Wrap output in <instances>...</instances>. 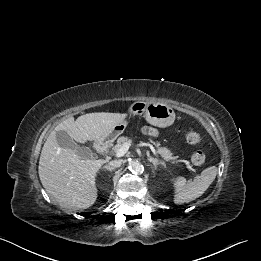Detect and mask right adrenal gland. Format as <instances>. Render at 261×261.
Returning <instances> with one entry per match:
<instances>
[{
  "label": "right adrenal gland",
  "mask_w": 261,
  "mask_h": 261,
  "mask_svg": "<svg viewBox=\"0 0 261 261\" xmlns=\"http://www.w3.org/2000/svg\"><path fill=\"white\" fill-rule=\"evenodd\" d=\"M103 169H105V170H109V171H113V170H114L113 168H111V167L108 166V165L104 166Z\"/></svg>",
  "instance_id": "2a0ac1e0"
}]
</instances>
